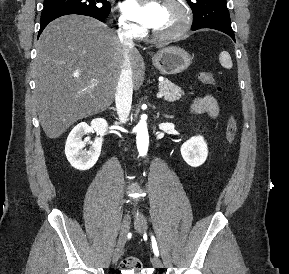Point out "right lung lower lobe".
<instances>
[{
  "instance_id": "1",
  "label": "right lung lower lobe",
  "mask_w": 289,
  "mask_h": 274,
  "mask_svg": "<svg viewBox=\"0 0 289 274\" xmlns=\"http://www.w3.org/2000/svg\"><path fill=\"white\" fill-rule=\"evenodd\" d=\"M69 14H79V15L91 16V17L96 18L102 22H104L105 19L107 18V17L96 16V15H92V14H88V13H84V12H78V11H65V12L48 14L45 16H41L40 30H39L38 36L41 34V32L43 31V29L46 27V25L48 23H50L51 21H53L54 19H56L58 17L64 16V15H69Z\"/></svg>"
}]
</instances>
